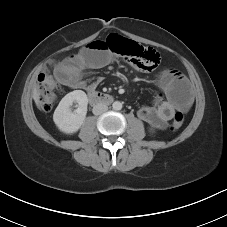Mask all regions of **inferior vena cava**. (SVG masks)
Returning <instances> with one entry per match:
<instances>
[{
    "mask_svg": "<svg viewBox=\"0 0 227 227\" xmlns=\"http://www.w3.org/2000/svg\"><path fill=\"white\" fill-rule=\"evenodd\" d=\"M108 110V106L102 103L96 104L93 107V114L100 115Z\"/></svg>",
    "mask_w": 227,
    "mask_h": 227,
    "instance_id": "1",
    "label": "inferior vena cava"
}]
</instances>
